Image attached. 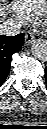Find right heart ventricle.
<instances>
[{
    "instance_id": "obj_1",
    "label": "right heart ventricle",
    "mask_w": 47,
    "mask_h": 129,
    "mask_svg": "<svg viewBox=\"0 0 47 129\" xmlns=\"http://www.w3.org/2000/svg\"><path fill=\"white\" fill-rule=\"evenodd\" d=\"M18 4L32 18L44 12L46 0H17Z\"/></svg>"
}]
</instances>
